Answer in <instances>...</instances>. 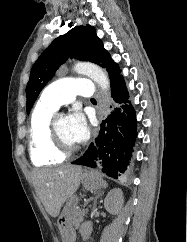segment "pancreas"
Returning a JSON list of instances; mask_svg holds the SVG:
<instances>
[{
    "label": "pancreas",
    "mask_w": 187,
    "mask_h": 242,
    "mask_svg": "<svg viewBox=\"0 0 187 242\" xmlns=\"http://www.w3.org/2000/svg\"><path fill=\"white\" fill-rule=\"evenodd\" d=\"M88 212V210L87 209H79V210H77L76 211V217H77V220H76V224H79L81 221H82V219H83V216L85 215V213H87Z\"/></svg>",
    "instance_id": "pancreas-1"
}]
</instances>
